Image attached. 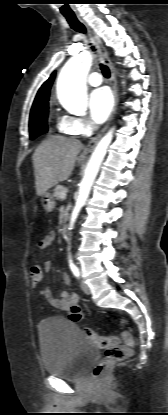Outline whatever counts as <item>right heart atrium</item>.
Instances as JSON below:
<instances>
[{
	"label": "right heart atrium",
	"instance_id": "d8ad5b80",
	"mask_svg": "<svg viewBox=\"0 0 168 415\" xmlns=\"http://www.w3.org/2000/svg\"><path fill=\"white\" fill-rule=\"evenodd\" d=\"M66 119L69 129L74 135L87 136L94 129L92 122L86 118L66 117Z\"/></svg>",
	"mask_w": 168,
	"mask_h": 415
}]
</instances>
